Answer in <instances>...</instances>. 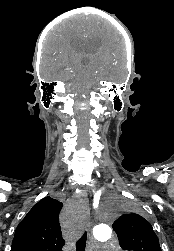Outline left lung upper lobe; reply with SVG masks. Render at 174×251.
I'll return each mask as SVG.
<instances>
[{"mask_svg": "<svg viewBox=\"0 0 174 251\" xmlns=\"http://www.w3.org/2000/svg\"><path fill=\"white\" fill-rule=\"evenodd\" d=\"M113 229L120 246L127 251H162L151 224L142 216L130 213L120 217Z\"/></svg>", "mask_w": 174, "mask_h": 251, "instance_id": "1", "label": "left lung upper lobe"}]
</instances>
